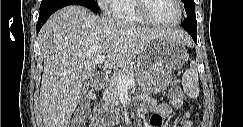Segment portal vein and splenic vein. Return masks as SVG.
I'll list each match as a JSON object with an SVG mask.
<instances>
[{"mask_svg":"<svg viewBox=\"0 0 243 127\" xmlns=\"http://www.w3.org/2000/svg\"><path fill=\"white\" fill-rule=\"evenodd\" d=\"M105 59H106V56L101 55V56L96 57L94 62H95V64H101L105 61ZM117 82L120 87L127 88V87L131 86L132 84H134V78L125 79L124 76L119 75L117 77Z\"/></svg>","mask_w":243,"mask_h":127,"instance_id":"obj_1","label":"portal vein and splenic vein"}]
</instances>
